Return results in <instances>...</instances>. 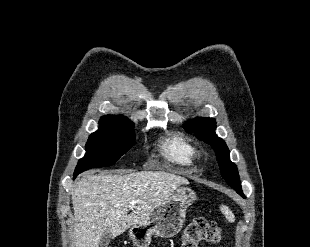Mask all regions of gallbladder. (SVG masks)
Instances as JSON below:
<instances>
[{"instance_id":"1","label":"gallbladder","mask_w":310,"mask_h":247,"mask_svg":"<svg viewBox=\"0 0 310 247\" xmlns=\"http://www.w3.org/2000/svg\"><path fill=\"white\" fill-rule=\"evenodd\" d=\"M112 239V235L108 232H105L99 241L98 247H108L110 240Z\"/></svg>"}]
</instances>
